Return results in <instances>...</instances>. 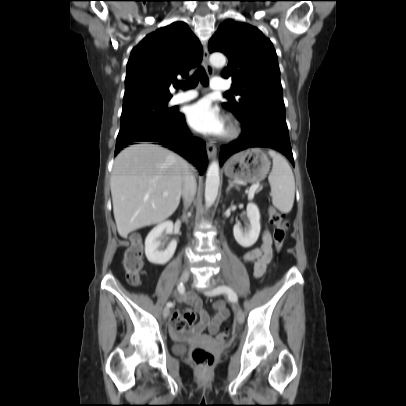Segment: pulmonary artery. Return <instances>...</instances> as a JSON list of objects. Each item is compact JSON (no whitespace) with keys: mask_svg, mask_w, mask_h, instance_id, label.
Returning <instances> with one entry per match:
<instances>
[{"mask_svg":"<svg viewBox=\"0 0 406 406\" xmlns=\"http://www.w3.org/2000/svg\"><path fill=\"white\" fill-rule=\"evenodd\" d=\"M211 88L216 91H223L230 88V82L227 79L214 77L211 82ZM197 97V92L194 90H189L185 92H180L175 94L170 103L172 105H178L185 102H189Z\"/></svg>","mask_w":406,"mask_h":406,"instance_id":"e3ab8cb5","label":"pulmonary artery"}]
</instances>
